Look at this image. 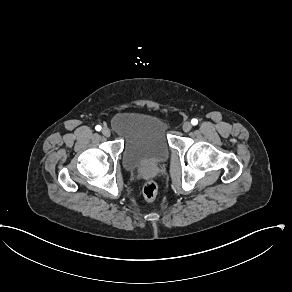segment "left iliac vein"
I'll use <instances>...</instances> for the list:
<instances>
[{
    "label": "left iliac vein",
    "mask_w": 292,
    "mask_h": 292,
    "mask_svg": "<svg viewBox=\"0 0 292 292\" xmlns=\"http://www.w3.org/2000/svg\"><path fill=\"white\" fill-rule=\"evenodd\" d=\"M184 132H189L192 129V124L190 122H185L182 126Z\"/></svg>",
    "instance_id": "obj_1"
}]
</instances>
